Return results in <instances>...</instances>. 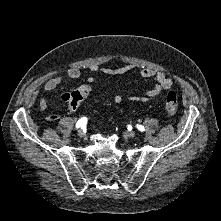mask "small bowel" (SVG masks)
I'll use <instances>...</instances> for the list:
<instances>
[{
	"label": "small bowel",
	"instance_id": "c3829d8e",
	"mask_svg": "<svg viewBox=\"0 0 221 221\" xmlns=\"http://www.w3.org/2000/svg\"><path fill=\"white\" fill-rule=\"evenodd\" d=\"M134 69V66L132 65H124L118 68H102L99 65H91L90 66V71L92 73H101L110 77H116V76H122L125 75L129 72H131ZM140 77L144 78V79H153L155 82V86L148 90L145 95L143 96H137V95H133L129 97V100L131 102H137V103H146L149 102L152 99L157 98L158 96H160L164 91H167L169 89H171L173 82L172 79L161 72H157L154 69H150V68H145L142 69L139 72ZM81 76V70L77 67H71L68 70L65 71L64 75H59V76H55L52 77L50 79H48L44 85H43V89L46 92H51L56 90L58 87H60L62 84H64L65 82H67L68 80H76ZM95 81V77L94 76H89L87 78V82L88 83H93ZM83 86H88V85H82L79 88L83 87ZM79 88L70 91V92H64L61 94V99L62 101L66 102L69 105V108L72 110L73 109V104L71 103V98H72V94L78 90ZM87 97V96H86ZM86 97H84L83 99H85ZM82 99V100H83ZM81 100V101H82ZM80 101V102H81ZM122 101V96L121 95H115L113 97V102L115 104H118ZM39 107L41 110H46L48 108V101L46 99H42L39 103ZM59 118V114L57 113H50L46 116V120L47 121H56Z\"/></svg>",
	"mask_w": 221,
	"mask_h": 221
}]
</instances>
